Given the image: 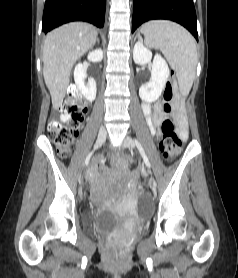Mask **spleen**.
I'll use <instances>...</instances> for the list:
<instances>
[{
  "label": "spleen",
  "mask_w": 238,
  "mask_h": 278,
  "mask_svg": "<svg viewBox=\"0 0 238 278\" xmlns=\"http://www.w3.org/2000/svg\"><path fill=\"white\" fill-rule=\"evenodd\" d=\"M141 31L148 47L159 49L176 71L179 89L188 94L196 73L197 49L193 36L182 26L164 20L150 21Z\"/></svg>",
  "instance_id": "spleen-1"
}]
</instances>
